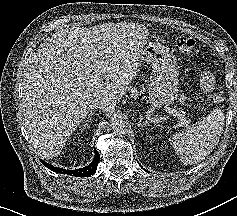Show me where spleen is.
I'll use <instances>...</instances> for the list:
<instances>
[{"instance_id":"3e777b00","label":"spleen","mask_w":237,"mask_h":216,"mask_svg":"<svg viewBox=\"0 0 237 216\" xmlns=\"http://www.w3.org/2000/svg\"><path fill=\"white\" fill-rule=\"evenodd\" d=\"M219 140L215 125L210 126L204 119L185 131L175 133L171 137L172 147L178 154H184L191 160H200L202 156L213 148Z\"/></svg>"}]
</instances>
